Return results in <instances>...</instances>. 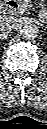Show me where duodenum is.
I'll return each mask as SVG.
<instances>
[{"label":"duodenum","instance_id":"1","mask_svg":"<svg viewBox=\"0 0 47 129\" xmlns=\"http://www.w3.org/2000/svg\"><path fill=\"white\" fill-rule=\"evenodd\" d=\"M18 7L17 3L14 0H5L3 2L2 11L5 14L13 12Z\"/></svg>","mask_w":47,"mask_h":129}]
</instances>
